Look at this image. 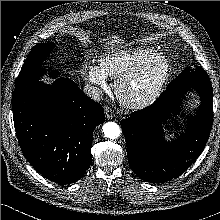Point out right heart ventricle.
<instances>
[{
	"instance_id": "obj_1",
	"label": "right heart ventricle",
	"mask_w": 220,
	"mask_h": 220,
	"mask_svg": "<svg viewBox=\"0 0 220 220\" xmlns=\"http://www.w3.org/2000/svg\"><path fill=\"white\" fill-rule=\"evenodd\" d=\"M152 52L154 49L148 46L112 50L101 56L99 67L107 76L118 78Z\"/></svg>"
}]
</instances>
